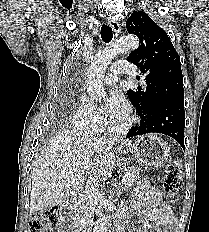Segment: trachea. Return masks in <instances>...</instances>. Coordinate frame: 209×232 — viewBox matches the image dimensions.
<instances>
[{"label":"trachea","mask_w":209,"mask_h":232,"mask_svg":"<svg viewBox=\"0 0 209 232\" xmlns=\"http://www.w3.org/2000/svg\"><path fill=\"white\" fill-rule=\"evenodd\" d=\"M101 38L105 43H109L113 38L112 28L108 25H102L101 27Z\"/></svg>","instance_id":"3493384b"}]
</instances>
